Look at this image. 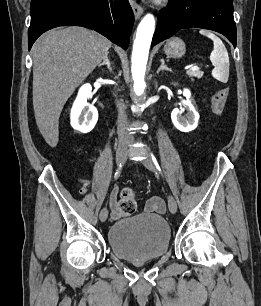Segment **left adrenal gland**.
<instances>
[{
	"instance_id": "obj_1",
	"label": "left adrenal gland",
	"mask_w": 261,
	"mask_h": 306,
	"mask_svg": "<svg viewBox=\"0 0 261 306\" xmlns=\"http://www.w3.org/2000/svg\"><path fill=\"white\" fill-rule=\"evenodd\" d=\"M160 61H161V65H160V67L158 68L157 73H159L160 71H163V70H165V71H172L170 68H168V67L165 65L164 59H161Z\"/></svg>"
}]
</instances>
